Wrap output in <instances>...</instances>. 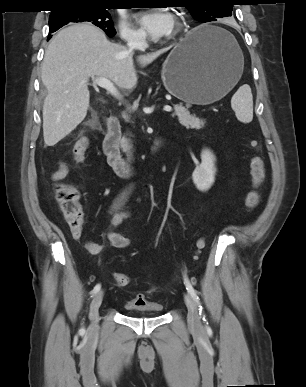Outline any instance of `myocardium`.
Returning a JSON list of instances; mask_svg holds the SVG:
<instances>
[{
  "label": "myocardium",
  "instance_id": "1",
  "mask_svg": "<svg viewBox=\"0 0 306 387\" xmlns=\"http://www.w3.org/2000/svg\"><path fill=\"white\" fill-rule=\"evenodd\" d=\"M175 22H176V28L179 29L180 22H181V16L180 15H176L175 16Z\"/></svg>",
  "mask_w": 306,
  "mask_h": 387
}]
</instances>
